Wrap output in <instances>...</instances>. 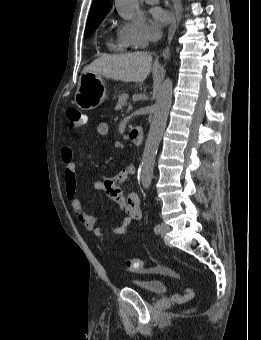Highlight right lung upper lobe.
I'll return each mask as SVG.
<instances>
[{
    "instance_id": "right-lung-upper-lobe-1",
    "label": "right lung upper lobe",
    "mask_w": 261,
    "mask_h": 340,
    "mask_svg": "<svg viewBox=\"0 0 261 340\" xmlns=\"http://www.w3.org/2000/svg\"><path fill=\"white\" fill-rule=\"evenodd\" d=\"M107 5L108 0H94L87 24L99 19H104L107 12Z\"/></svg>"
}]
</instances>
